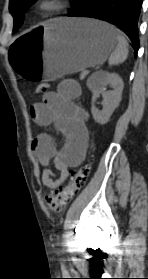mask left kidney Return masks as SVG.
I'll list each match as a JSON object with an SVG mask.
<instances>
[{"instance_id": "left-kidney-1", "label": "left kidney", "mask_w": 148, "mask_h": 279, "mask_svg": "<svg viewBox=\"0 0 148 279\" xmlns=\"http://www.w3.org/2000/svg\"><path fill=\"white\" fill-rule=\"evenodd\" d=\"M107 85H111L113 90L106 91ZM123 87V80L116 73L103 72L95 77L93 83L90 86L93 94L91 113L97 123L103 125L110 120L111 115L119 106V103L121 101ZM100 94H102L103 96L102 110H98L94 106V102Z\"/></svg>"}]
</instances>
